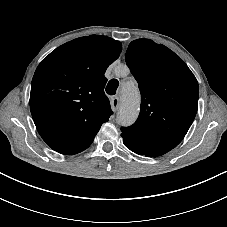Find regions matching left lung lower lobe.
<instances>
[{
    "mask_svg": "<svg viewBox=\"0 0 227 227\" xmlns=\"http://www.w3.org/2000/svg\"><path fill=\"white\" fill-rule=\"evenodd\" d=\"M135 153H137V154H139V155H145V156H147V157H155V155L150 154V153H142V152H135Z\"/></svg>",
    "mask_w": 227,
    "mask_h": 227,
    "instance_id": "0a47b994",
    "label": "left lung lower lobe"
}]
</instances>
